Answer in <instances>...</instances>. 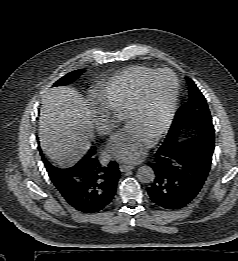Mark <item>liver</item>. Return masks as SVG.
Masks as SVG:
<instances>
[{
  "label": "liver",
  "mask_w": 238,
  "mask_h": 261,
  "mask_svg": "<svg viewBox=\"0 0 238 261\" xmlns=\"http://www.w3.org/2000/svg\"><path fill=\"white\" fill-rule=\"evenodd\" d=\"M38 123L43 152L63 166L79 161L95 136L91 110L69 87H55L44 95Z\"/></svg>",
  "instance_id": "obj_1"
}]
</instances>
